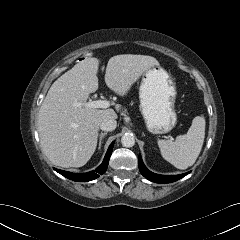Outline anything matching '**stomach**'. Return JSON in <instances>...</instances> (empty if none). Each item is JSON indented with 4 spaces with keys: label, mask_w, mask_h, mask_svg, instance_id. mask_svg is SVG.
<instances>
[{
    "label": "stomach",
    "mask_w": 240,
    "mask_h": 240,
    "mask_svg": "<svg viewBox=\"0 0 240 240\" xmlns=\"http://www.w3.org/2000/svg\"><path fill=\"white\" fill-rule=\"evenodd\" d=\"M176 86L165 69L153 66L145 71L139 87L140 111L153 134L171 131L176 125Z\"/></svg>",
    "instance_id": "obj_1"
}]
</instances>
